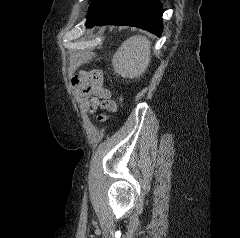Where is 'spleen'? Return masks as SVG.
Masks as SVG:
<instances>
[{
  "label": "spleen",
  "instance_id": "1",
  "mask_svg": "<svg viewBox=\"0 0 240 238\" xmlns=\"http://www.w3.org/2000/svg\"><path fill=\"white\" fill-rule=\"evenodd\" d=\"M150 41L141 35L125 40L112 58L115 72L124 78H138L150 63Z\"/></svg>",
  "mask_w": 240,
  "mask_h": 238
}]
</instances>
